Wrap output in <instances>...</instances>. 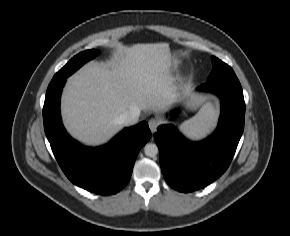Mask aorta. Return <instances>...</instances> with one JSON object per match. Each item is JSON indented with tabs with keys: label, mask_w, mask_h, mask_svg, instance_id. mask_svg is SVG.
<instances>
[{
	"label": "aorta",
	"mask_w": 290,
	"mask_h": 236,
	"mask_svg": "<svg viewBox=\"0 0 290 236\" xmlns=\"http://www.w3.org/2000/svg\"><path fill=\"white\" fill-rule=\"evenodd\" d=\"M159 150L156 144L154 143H147L144 146V153L148 157H154L158 154Z\"/></svg>",
	"instance_id": "obj_1"
}]
</instances>
